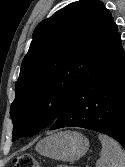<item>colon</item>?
<instances>
[{
    "instance_id": "5ec220e1",
    "label": "colon",
    "mask_w": 125,
    "mask_h": 167,
    "mask_svg": "<svg viewBox=\"0 0 125 167\" xmlns=\"http://www.w3.org/2000/svg\"><path fill=\"white\" fill-rule=\"evenodd\" d=\"M14 167H38V164L32 155L19 154L14 158Z\"/></svg>"
}]
</instances>
